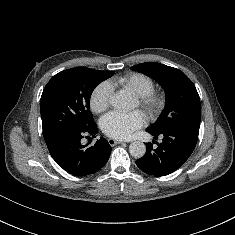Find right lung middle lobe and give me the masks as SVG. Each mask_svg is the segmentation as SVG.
I'll list each match as a JSON object with an SVG mask.
<instances>
[{
	"label": "right lung middle lobe",
	"mask_w": 235,
	"mask_h": 235,
	"mask_svg": "<svg viewBox=\"0 0 235 235\" xmlns=\"http://www.w3.org/2000/svg\"><path fill=\"white\" fill-rule=\"evenodd\" d=\"M113 71L72 68L54 75L41 96V118L45 142L66 129L86 130L95 122L90 112L94 88Z\"/></svg>",
	"instance_id": "dd1d6c3e"
}]
</instances>
